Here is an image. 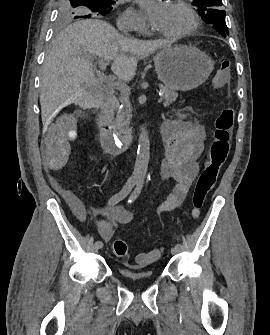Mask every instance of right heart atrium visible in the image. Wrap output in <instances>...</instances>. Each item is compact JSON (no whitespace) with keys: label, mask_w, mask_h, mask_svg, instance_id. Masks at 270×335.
Returning <instances> with one entry per match:
<instances>
[{"label":"right heart atrium","mask_w":270,"mask_h":335,"mask_svg":"<svg viewBox=\"0 0 270 335\" xmlns=\"http://www.w3.org/2000/svg\"><path fill=\"white\" fill-rule=\"evenodd\" d=\"M117 25H137L136 34L143 35L146 32V24L140 13L133 7L127 8L119 17Z\"/></svg>","instance_id":"right-heart-atrium-1"}]
</instances>
